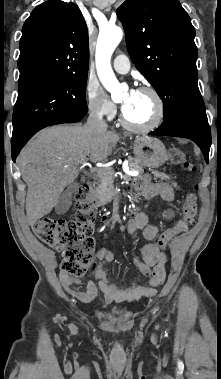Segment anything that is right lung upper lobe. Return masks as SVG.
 I'll return each mask as SVG.
<instances>
[{
  "instance_id": "obj_1",
  "label": "right lung upper lobe",
  "mask_w": 221,
  "mask_h": 379,
  "mask_svg": "<svg viewBox=\"0 0 221 379\" xmlns=\"http://www.w3.org/2000/svg\"><path fill=\"white\" fill-rule=\"evenodd\" d=\"M88 66V30L77 5L50 0L37 6L22 28L19 85L85 75Z\"/></svg>"
}]
</instances>
